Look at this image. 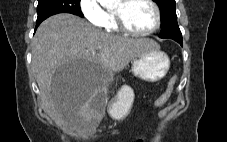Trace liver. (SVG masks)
Returning <instances> with one entry per match:
<instances>
[{"instance_id":"1","label":"liver","mask_w":227,"mask_h":142,"mask_svg":"<svg viewBox=\"0 0 227 142\" xmlns=\"http://www.w3.org/2000/svg\"><path fill=\"white\" fill-rule=\"evenodd\" d=\"M152 48H159L154 40L108 34L72 14L49 17L32 40V70L46 111L70 130L83 135L94 133L89 105L102 89L95 65L119 72ZM61 61H90L85 68L95 73V78H88L84 88H55L51 76Z\"/></svg>"}]
</instances>
